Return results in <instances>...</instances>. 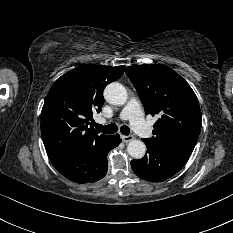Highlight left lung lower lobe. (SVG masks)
Returning <instances> with one entry per match:
<instances>
[{"instance_id": "obj_1", "label": "left lung lower lobe", "mask_w": 233, "mask_h": 233, "mask_svg": "<svg viewBox=\"0 0 233 233\" xmlns=\"http://www.w3.org/2000/svg\"><path fill=\"white\" fill-rule=\"evenodd\" d=\"M147 152L142 159L132 160L134 173L147 181L160 182L176 174L190 158L193 148L155 143L151 139H143Z\"/></svg>"}]
</instances>
